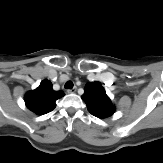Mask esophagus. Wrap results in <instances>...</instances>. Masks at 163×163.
<instances>
[{"label": "esophagus", "instance_id": "obj_1", "mask_svg": "<svg viewBox=\"0 0 163 163\" xmlns=\"http://www.w3.org/2000/svg\"><path fill=\"white\" fill-rule=\"evenodd\" d=\"M76 90H77L76 87H74V88H72V89H68V90H67V93H68V94H73V93L76 92Z\"/></svg>", "mask_w": 163, "mask_h": 163}]
</instances>
